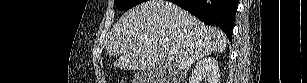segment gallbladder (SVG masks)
Wrapping results in <instances>:
<instances>
[{
	"label": "gallbladder",
	"instance_id": "obj_1",
	"mask_svg": "<svg viewBox=\"0 0 307 83\" xmlns=\"http://www.w3.org/2000/svg\"><path fill=\"white\" fill-rule=\"evenodd\" d=\"M165 77V72H161L156 68H148L145 70L139 71L135 75L136 83H159V82H169L170 77H168L169 81H159Z\"/></svg>",
	"mask_w": 307,
	"mask_h": 83
}]
</instances>
